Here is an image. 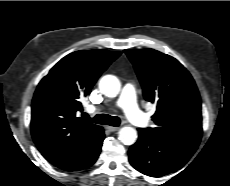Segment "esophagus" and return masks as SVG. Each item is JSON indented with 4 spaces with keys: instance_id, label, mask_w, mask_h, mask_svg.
Masks as SVG:
<instances>
[{
    "instance_id": "34e87169",
    "label": "esophagus",
    "mask_w": 230,
    "mask_h": 186,
    "mask_svg": "<svg viewBox=\"0 0 230 186\" xmlns=\"http://www.w3.org/2000/svg\"><path fill=\"white\" fill-rule=\"evenodd\" d=\"M107 129L109 132H116L120 129V127L108 126Z\"/></svg>"
}]
</instances>
